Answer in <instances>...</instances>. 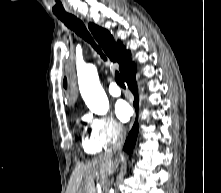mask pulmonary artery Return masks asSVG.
Instances as JSON below:
<instances>
[{
    "instance_id": "1",
    "label": "pulmonary artery",
    "mask_w": 221,
    "mask_h": 193,
    "mask_svg": "<svg viewBox=\"0 0 221 193\" xmlns=\"http://www.w3.org/2000/svg\"><path fill=\"white\" fill-rule=\"evenodd\" d=\"M108 92L112 96H119L121 94V89L118 87V85L114 82L110 83L108 87Z\"/></svg>"
}]
</instances>
